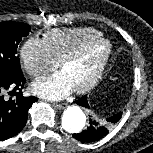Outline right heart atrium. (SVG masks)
Instances as JSON below:
<instances>
[{"label":"right heart atrium","instance_id":"1","mask_svg":"<svg viewBox=\"0 0 153 153\" xmlns=\"http://www.w3.org/2000/svg\"><path fill=\"white\" fill-rule=\"evenodd\" d=\"M20 57L27 74L35 79L45 76L58 65L45 42L37 37H31L23 43Z\"/></svg>","mask_w":153,"mask_h":153}]
</instances>
